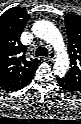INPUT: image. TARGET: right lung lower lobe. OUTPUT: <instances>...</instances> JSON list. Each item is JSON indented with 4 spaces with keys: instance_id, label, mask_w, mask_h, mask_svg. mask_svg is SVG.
Instances as JSON below:
<instances>
[{
    "instance_id": "right-lung-lower-lobe-1",
    "label": "right lung lower lobe",
    "mask_w": 81,
    "mask_h": 124,
    "mask_svg": "<svg viewBox=\"0 0 81 124\" xmlns=\"http://www.w3.org/2000/svg\"><path fill=\"white\" fill-rule=\"evenodd\" d=\"M32 78H33V77H32ZM32 78H31L30 80H28V82H26V83H25L23 86H21L19 89H21V88L27 86V85L30 83V81L32 80ZM19 89H17V90H19Z\"/></svg>"
}]
</instances>
